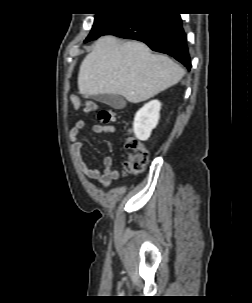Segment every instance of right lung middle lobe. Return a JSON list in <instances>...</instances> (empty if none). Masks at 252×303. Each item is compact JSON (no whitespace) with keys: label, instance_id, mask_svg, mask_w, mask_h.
<instances>
[{"label":"right lung middle lobe","instance_id":"right-lung-middle-lobe-1","mask_svg":"<svg viewBox=\"0 0 252 303\" xmlns=\"http://www.w3.org/2000/svg\"><path fill=\"white\" fill-rule=\"evenodd\" d=\"M120 15L121 13L96 14L92 30L84 42H88L102 36Z\"/></svg>","mask_w":252,"mask_h":303}]
</instances>
